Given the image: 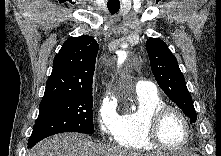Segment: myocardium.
Wrapping results in <instances>:
<instances>
[{
	"mask_svg": "<svg viewBox=\"0 0 221 156\" xmlns=\"http://www.w3.org/2000/svg\"><path fill=\"white\" fill-rule=\"evenodd\" d=\"M174 112L178 114L181 119L183 120L186 128V135L185 139L183 142L177 146V147H169L166 146L160 139L159 136V130L161 123L165 116L170 113ZM191 134H192V127H191V122L188 118V116L184 113L183 110L176 106L172 105H162L161 107L157 108L149 117L148 122H147V127H146V136L148 141L156 148L168 151V152H176L181 149H183L190 141L191 139Z\"/></svg>",
	"mask_w": 221,
	"mask_h": 156,
	"instance_id": "1",
	"label": "myocardium"
}]
</instances>
